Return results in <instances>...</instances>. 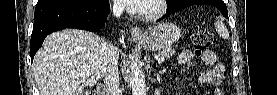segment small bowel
<instances>
[{
    "label": "small bowel",
    "instance_id": "c3829d8e",
    "mask_svg": "<svg viewBox=\"0 0 277 95\" xmlns=\"http://www.w3.org/2000/svg\"><path fill=\"white\" fill-rule=\"evenodd\" d=\"M199 58L203 66L207 67V70L200 75V81L202 83H209L213 85H219L223 76V69L216 63L215 53L211 50L204 51L196 56ZM194 59V54L191 51H183L178 56V63L184 65ZM224 94L221 90H217L215 95Z\"/></svg>",
    "mask_w": 277,
    "mask_h": 95
}]
</instances>
